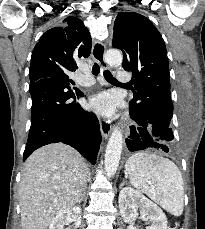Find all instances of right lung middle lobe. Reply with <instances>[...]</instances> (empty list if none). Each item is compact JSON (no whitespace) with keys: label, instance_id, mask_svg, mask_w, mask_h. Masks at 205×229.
<instances>
[{"label":"right lung middle lobe","instance_id":"right-lung-middle-lobe-1","mask_svg":"<svg viewBox=\"0 0 205 229\" xmlns=\"http://www.w3.org/2000/svg\"><path fill=\"white\" fill-rule=\"evenodd\" d=\"M54 78L57 79L58 81L64 83L67 86H69L70 82H72V80H70L67 75H56V76H54Z\"/></svg>","mask_w":205,"mask_h":229}]
</instances>
